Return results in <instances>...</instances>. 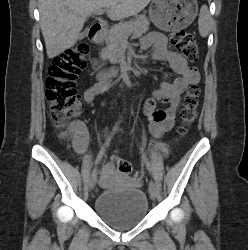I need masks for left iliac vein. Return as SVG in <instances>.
<instances>
[{"instance_id":"1","label":"left iliac vein","mask_w":248,"mask_h":250,"mask_svg":"<svg viewBox=\"0 0 248 250\" xmlns=\"http://www.w3.org/2000/svg\"><path fill=\"white\" fill-rule=\"evenodd\" d=\"M149 193H150L152 199H156V197H157V187H156V184L153 181H150V183H149Z\"/></svg>"}]
</instances>
